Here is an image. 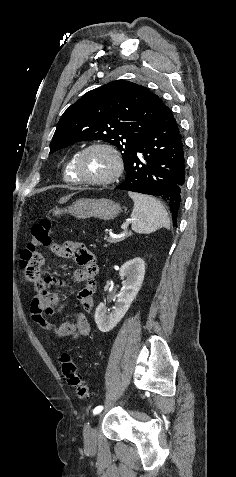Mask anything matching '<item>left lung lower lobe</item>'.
<instances>
[{
  "label": "left lung lower lobe",
  "mask_w": 236,
  "mask_h": 477,
  "mask_svg": "<svg viewBox=\"0 0 236 477\" xmlns=\"http://www.w3.org/2000/svg\"><path fill=\"white\" fill-rule=\"evenodd\" d=\"M117 189L159 196L170 206L174 224L182 204L185 157L172 111L164 104L160 116L128 165Z\"/></svg>",
  "instance_id": "left-lung-lower-lobe-1"
}]
</instances>
